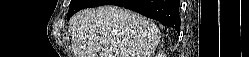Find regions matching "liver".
I'll list each match as a JSON object with an SVG mask.
<instances>
[{
	"label": "liver",
	"instance_id": "obj_1",
	"mask_svg": "<svg viewBox=\"0 0 249 57\" xmlns=\"http://www.w3.org/2000/svg\"><path fill=\"white\" fill-rule=\"evenodd\" d=\"M71 25L76 57H150L160 41L154 22L114 5L83 9Z\"/></svg>",
	"mask_w": 249,
	"mask_h": 57
}]
</instances>
